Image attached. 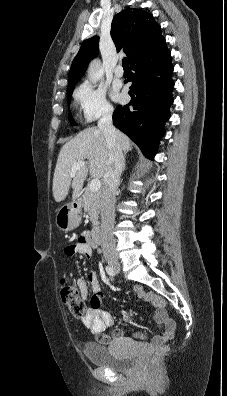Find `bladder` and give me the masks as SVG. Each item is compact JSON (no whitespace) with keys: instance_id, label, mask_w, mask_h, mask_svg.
I'll return each instance as SVG.
<instances>
[{"instance_id":"31cf9c89","label":"bladder","mask_w":227,"mask_h":396,"mask_svg":"<svg viewBox=\"0 0 227 396\" xmlns=\"http://www.w3.org/2000/svg\"><path fill=\"white\" fill-rule=\"evenodd\" d=\"M84 353L92 365L114 372H128L136 366L138 361L136 355L123 353L115 346L106 347L95 343H87Z\"/></svg>"}]
</instances>
